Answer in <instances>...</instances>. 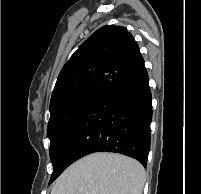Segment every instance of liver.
I'll return each instance as SVG.
<instances>
[{
    "mask_svg": "<svg viewBox=\"0 0 201 194\" xmlns=\"http://www.w3.org/2000/svg\"><path fill=\"white\" fill-rule=\"evenodd\" d=\"M143 166L115 153H94L69 166L55 181L51 194H142Z\"/></svg>",
    "mask_w": 201,
    "mask_h": 194,
    "instance_id": "obj_1",
    "label": "liver"
}]
</instances>
